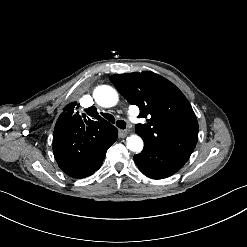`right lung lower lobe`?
<instances>
[{
  "label": "right lung lower lobe",
  "mask_w": 247,
  "mask_h": 247,
  "mask_svg": "<svg viewBox=\"0 0 247 247\" xmlns=\"http://www.w3.org/2000/svg\"><path fill=\"white\" fill-rule=\"evenodd\" d=\"M116 139L108 146L94 151L92 154H89L88 156L83 157L79 160H67L64 158H57L53 143L54 156L60 169L64 173L73 178H85L92 175L96 170L100 168L108 148L116 141Z\"/></svg>",
  "instance_id": "right-lung-lower-lobe-1"
}]
</instances>
